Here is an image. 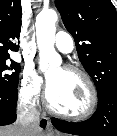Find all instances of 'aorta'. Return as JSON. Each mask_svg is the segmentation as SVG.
<instances>
[{
  "label": "aorta",
  "instance_id": "1",
  "mask_svg": "<svg viewBox=\"0 0 117 136\" xmlns=\"http://www.w3.org/2000/svg\"><path fill=\"white\" fill-rule=\"evenodd\" d=\"M58 16L54 10L41 12L36 17V36L39 49V68L48 71L61 65V57L54 49L55 24Z\"/></svg>",
  "mask_w": 117,
  "mask_h": 136
}]
</instances>
